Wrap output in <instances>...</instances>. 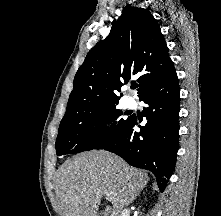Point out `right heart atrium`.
<instances>
[{
    "label": "right heart atrium",
    "mask_w": 221,
    "mask_h": 216,
    "mask_svg": "<svg viewBox=\"0 0 221 216\" xmlns=\"http://www.w3.org/2000/svg\"><path fill=\"white\" fill-rule=\"evenodd\" d=\"M105 126L111 127L112 126V122L110 120H106L105 121Z\"/></svg>",
    "instance_id": "right-heart-atrium-1"
}]
</instances>
